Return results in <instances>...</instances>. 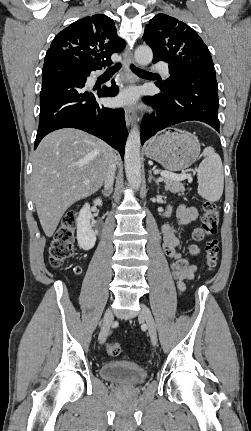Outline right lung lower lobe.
I'll return each instance as SVG.
<instances>
[{"label":"right lung lower lobe","instance_id":"1","mask_svg":"<svg viewBox=\"0 0 251 431\" xmlns=\"http://www.w3.org/2000/svg\"><path fill=\"white\" fill-rule=\"evenodd\" d=\"M64 61L63 65L43 69L40 92L39 128L34 149L48 133L61 128H77L95 135L115 148L123 158L127 129L124 110L105 108L96 100L118 93L112 87L88 90L85 82L97 68L79 67Z\"/></svg>","mask_w":251,"mask_h":431}]
</instances>
